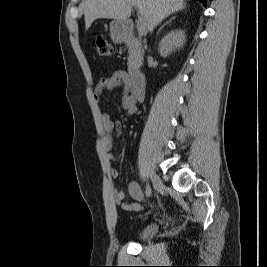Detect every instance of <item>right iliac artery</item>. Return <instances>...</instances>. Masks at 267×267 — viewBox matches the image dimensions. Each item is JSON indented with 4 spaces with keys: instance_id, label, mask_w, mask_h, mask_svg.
Segmentation results:
<instances>
[{
    "instance_id": "right-iliac-artery-1",
    "label": "right iliac artery",
    "mask_w": 267,
    "mask_h": 267,
    "mask_svg": "<svg viewBox=\"0 0 267 267\" xmlns=\"http://www.w3.org/2000/svg\"><path fill=\"white\" fill-rule=\"evenodd\" d=\"M150 195H151V187H150L149 184H147V186H146V196L150 197Z\"/></svg>"
}]
</instances>
